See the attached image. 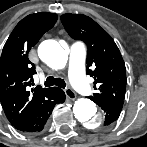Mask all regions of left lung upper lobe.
<instances>
[{"mask_svg": "<svg viewBox=\"0 0 147 147\" xmlns=\"http://www.w3.org/2000/svg\"><path fill=\"white\" fill-rule=\"evenodd\" d=\"M62 24L75 40L86 43L87 74L94 78L97 90L90 99L97 105L123 101L126 90V68L112 37L94 20L82 14H64Z\"/></svg>", "mask_w": 147, "mask_h": 147, "instance_id": "left-lung-upper-lobe-1", "label": "left lung upper lobe"}]
</instances>
